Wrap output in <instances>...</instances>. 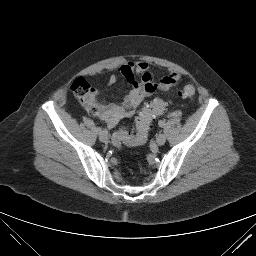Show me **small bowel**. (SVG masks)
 <instances>
[{"label": "small bowel", "instance_id": "1", "mask_svg": "<svg viewBox=\"0 0 256 256\" xmlns=\"http://www.w3.org/2000/svg\"><path fill=\"white\" fill-rule=\"evenodd\" d=\"M120 74L128 85V91L120 104L95 103L99 117L106 122L109 128H114L121 120L133 116L135 109L143 100L156 91H167L181 80L177 72H170L161 79L156 80L146 62H127L120 67ZM117 82L116 76H111L108 86ZM95 102V95H92Z\"/></svg>", "mask_w": 256, "mask_h": 256}]
</instances>
